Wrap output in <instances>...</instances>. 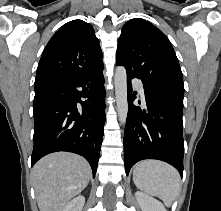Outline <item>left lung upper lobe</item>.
Here are the masks:
<instances>
[{
	"instance_id": "5c2ea615",
	"label": "left lung upper lobe",
	"mask_w": 221,
	"mask_h": 211,
	"mask_svg": "<svg viewBox=\"0 0 221 211\" xmlns=\"http://www.w3.org/2000/svg\"><path fill=\"white\" fill-rule=\"evenodd\" d=\"M116 63L149 87L184 93L183 76L168 38L154 25L135 18L122 28Z\"/></svg>"
}]
</instances>
